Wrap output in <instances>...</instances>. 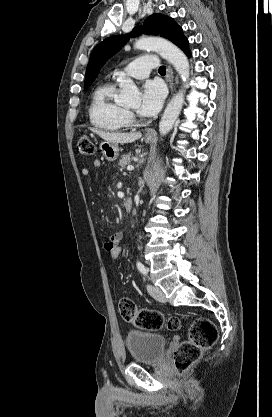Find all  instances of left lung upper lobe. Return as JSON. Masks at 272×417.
I'll return each instance as SVG.
<instances>
[{
	"instance_id": "left-lung-upper-lobe-1",
	"label": "left lung upper lobe",
	"mask_w": 272,
	"mask_h": 417,
	"mask_svg": "<svg viewBox=\"0 0 272 417\" xmlns=\"http://www.w3.org/2000/svg\"><path fill=\"white\" fill-rule=\"evenodd\" d=\"M139 34L160 35L172 41L183 51L189 49L188 40L183 35L181 27L172 18L162 14H153L148 17L143 26H137L133 29L131 36L134 37ZM128 39L129 35L112 36L94 48L87 65L84 87L92 84L101 67L121 49Z\"/></svg>"
}]
</instances>
